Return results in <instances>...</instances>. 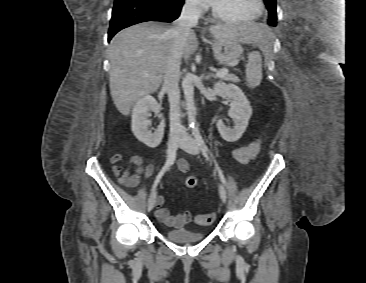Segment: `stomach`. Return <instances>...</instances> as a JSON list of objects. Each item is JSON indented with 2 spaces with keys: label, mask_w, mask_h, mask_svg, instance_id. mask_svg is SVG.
I'll return each instance as SVG.
<instances>
[{
  "label": "stomach",
  "mask_w": 366,
  "mask_h": 283,
  "mask_svg": "<svg viewBox=\"0 0 366 283\" xmlns=\"http://www.w3.org/2000/svg\"><path fill=\"white\" fill-rule=\"evenodd\" d=\"M213 53L220 65H229L238 59L243 52L240 42L226 37H214Z\"/></svg>",
  "instance_id": "0dacf381"
}]
</instances>
